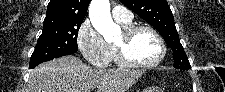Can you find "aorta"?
<instances>
[{"label": "aorta", "mask_w": 225, "mask_h": 92, "mask_svg": "<svg viewBox=\"0 0 225 92\" xmlns=\"http://www.w3.org/2000/svg\"><path fill=\"white\" fill-rule=\"evenodd\" d=\"M89 18L93 27L104 37L106 41L112 40L119 32L110 14L109 0H92L89 6Z\"/></svg>", "instance_id": "obj_1"}]
</instances>
